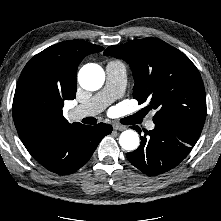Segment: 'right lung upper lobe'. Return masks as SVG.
<instances>
[{"label":"right lung upper lobe","instance_id":"1","mask_svg":"<svg viewBox=\"0 0 221 221\" xmlns=\"http://www.w3.org/2000/svg\"><path fill=\"white\" fill-rule=\"evenodd\" d=\"M104 48L81 40L63 41L35 55L24 67L13 99V119L17 132L30 154L63 136L81 123L69 124L63 117L65 100L75 98L77 68L83 58ZM42 100L31 104L30 96Z\"/></svg>","mask_w":221,"mask_h":221}]
</instances>
